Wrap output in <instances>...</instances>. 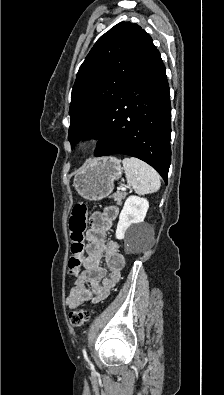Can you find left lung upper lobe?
I'll list each match as a JSON object with an SVG mask.
<instances>
[{
    "label": "left lung upper lobe",
    "instance_id": "1",
    "mask_svg": "<svg viewBox=\"0 0 224 395\" xmlns=\"http://www.w3.org/2000/svg\"><path fill=\"white\" fill-rule=\"evenodd\" d=\"M150 35L137 24L120 22L102 35L79 68L73 86L68 139L98 135L107 108L154 51Z\"/></svg>",
    "mask_w": 224,
    "mask_h": 395
}]
</instances>
